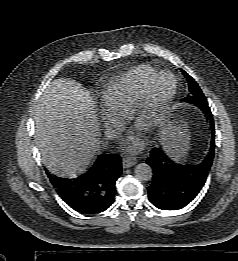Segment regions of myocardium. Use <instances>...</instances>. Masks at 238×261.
Returning <instances> with one entry per match:
<instances>
[{"label":"myocardium","mask_w":238,"mask_h":261,"mask_svg":"<svg viewBox=\"0 0 238 261\" xmlns=\"http://www.w3.org/2000/svg\"><path fill=\"white\" fill-rule=\"evenodd\" d=\"M161 75H168L171 77L172 87L165 99L160 103V105L155 108H151L149 90L152 83ZM177 89L178 80L175 74H173L169 70L155 71L145 80L141 87L137 101L130 113L132 124L136 125L140 118L148 115L149 123L146 130L150 133L157 131L164 124L167 118L169 108L177 93Z\"/></svg>","instance_id":"obj_1"}]
</instances>
